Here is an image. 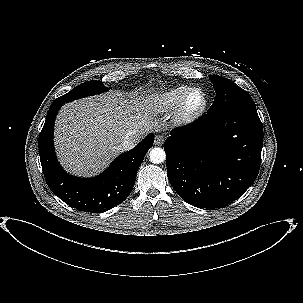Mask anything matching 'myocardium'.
Masks as SVG:
<instances>
[{"label": "myocardium", "mask_w": 303, "mask_h": 303, "mask_svg": "<svg viewBox=\"0 0 303 303\" xmlns=\"http://www.w3.org/2000/svg\"><path fill=\"white\" fill-rule=\"evenodd\" d=\"M196 92L201 94L202 100L199 106L193 108L189 105V100L192 94ZM207 102H208L207 95L202 88L199 87L190 88L177 106L174 115L175 121L182 125H187L194 122L206 110Z\"/></svg>", "instance_id": "myocardium-1"}]
</instances>
